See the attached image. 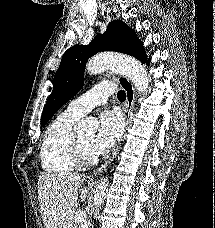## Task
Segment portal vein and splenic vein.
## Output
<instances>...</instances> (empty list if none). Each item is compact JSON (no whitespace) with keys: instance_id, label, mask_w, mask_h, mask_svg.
I'll list each match as a JSON object with an SVG mask.
<instances>
[{"instance_id":"1","label":"portal vein and splenic vein","mask_w":215,"mask_h":228,"mask_svg":"<svg viewBox=\"0 0 215 228\" xmlns=\"http://www.w3.org/2000/svg\"><path fill=\"white\" fill-rule=\"evenodd\" d=\"M84 218H86L85 212H78L75 216V220H77V222H84Z\"/></svg>"}]
</instances>
